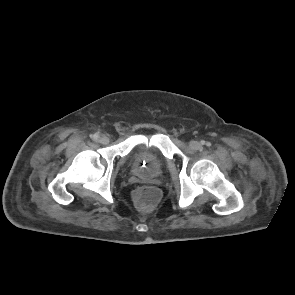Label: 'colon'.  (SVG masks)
Wrapping results in <instances>:
<instances>
[{"instance_id": "1", "label": "colon", "mask_w": 295, "mask_h": 295, "mask_svg": "<svg viewBox=\"0 0 295 295\" xmlns=\"http://www.w3.org/2000/svg\"><path fill=\"white\" fill-rule=\"evenodd\" d=\"M159 196L158 189L153 186H141L133 194L135 203L141 209H150L153 207L157 203Z\"/></svg>"}]
</instances>
